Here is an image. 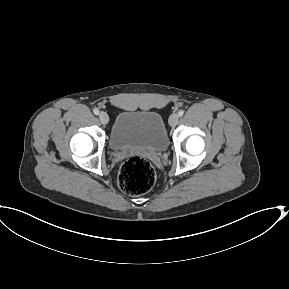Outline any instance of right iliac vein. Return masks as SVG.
<instances>
[{
    "label": "right iliac vein",
    "instance_id": "63e3f726",
    "mask_svg": "<svg viewBox=\"0 0 289 289\" xmlns=\"http://www.w3.org/2000/svg\"><path fill=\"white\" fill-rule=\"evenodd\" d=\"M99 119L102 124H107L109 122V116L106 112H100Z\"/></svg>",
    "mask_w": 289,
    "mask_h": 289
}]
</instances>
